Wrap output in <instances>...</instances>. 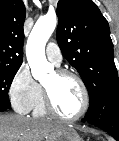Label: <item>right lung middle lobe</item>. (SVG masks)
Returning a JSON list of instances; mask_svg holds the SVG:
<instances>
[{
	"label": "right lung middle lobe",
	"instance_id": "obj_1",
	"mask_svg": "<svg viewBox=\"0 0 119 141\" xmlns=\"http://www.w3.org/2000/svg\"><path fill=\"white\" fill-rule=\"evenodd\" d=\"M20 66H0V104L10 106L9 88Z\"/></svg>",
	"mask_w": 119,
	"mask_h": 141
}]
</instances>
